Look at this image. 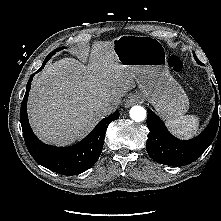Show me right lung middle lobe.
Returning <instances> with one entry per match:
<instances>
[{
	"label": "right lung middle lobe",
	"mask_w": 221,
	"mask_h": 221,
	"mask_svg": "<svg viewBox=\"0 0 221 221\" xmlns=\"http://www.w3.org/2000/svg\"><path fill=\"white\" fill-rule=\"evenodd\" d=\"M61 49H63V47L57 48L55 49V51H53L50 55H48L49 57L53 56L57 51H60Z\"/></svg>",
	"instance_id": "right-lung-middle-lobe-1"
}]
</instances>
